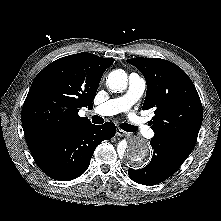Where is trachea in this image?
<instances>
[{"label":"trachea","instance_id":"obj_1","mask_svg":"<svg viewBox=\"0 0 221 221\" xmlns=\"http://www.w3.org/2000/svg\"><path fill=\"white\" fill-rule=\"evenodd\" d=\"M92 122L94 124H102L104 122V120L102 117L95 115L92 117ZM122 128L127 132H135L136 131V128L130 124L124 123V124H122Z\"/></svg>","mask_w":221,"mask_h":221}]
</instances>
